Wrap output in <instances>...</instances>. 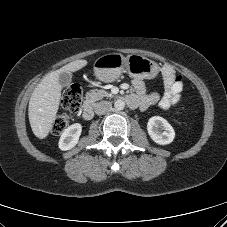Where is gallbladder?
Here are the masks:
<instances>
[{"instance_id": "bac80fb5", "label": "gallbladder", "mask_w": 227, "mask_h": 227, "mask_svg": "<svg viewBox=\"0 0 227 227\" xmlns=\"http://www.w3.org/2000/svg\"><path fill=\"white\" fill-rule=\"evenodd\" d=\"M72 75L70 72H62L59 75V82L62 87L68 86L71 83Z\"/></svg>"}]
</instances>
